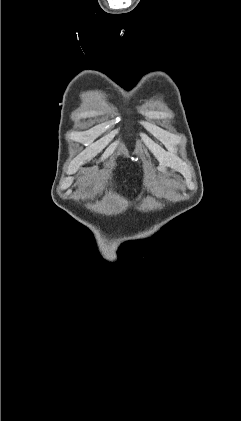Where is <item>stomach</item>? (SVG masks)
Instances as JSON below:
<instances>
[{"label": "stomach", "mask_w": 241, "mask_h": 421, "mask_svg": "<svg viewBox=\"0 0 241 421\" xmlns=\"http://www.w3.org/2000/svg\"><path fill=\"white\" fill-rule=\"evenodd\" d=\"M169 184L178 187V184L174 180H168Z\"/></svg>", "instance_id": "0dacf381"}]
</instances>
